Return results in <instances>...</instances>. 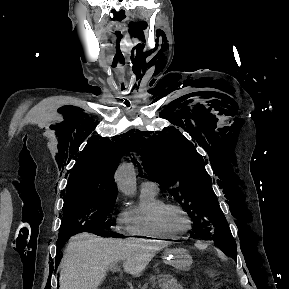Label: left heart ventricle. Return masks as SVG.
<instances>
[{
  "label": "left heart ventricle",
  "mask_w": 289,
  "mask_h": 289,
  "mask_svg": "<svg viewBox=\"0 0 289 289\" xmlns=\"http://www.w3.org/2000/svg\"><path fill=\"white\" fill-rule=\"evenodd\" d=\"M166 226L175 232L183 231L187 225L188 221L185 216L177 210H168L164 216Z\"/></svg>",
  "instance_id": "b2bd125f"
}]
</instances>
